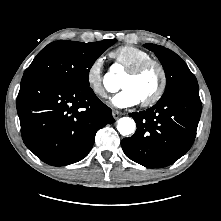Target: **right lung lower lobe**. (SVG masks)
<instances>
[{"instance_id":"right-lung-lower-lobe-1","label":"right lung lower lobe","mask_w":221,"mask_h":221,"mask_svg":"<svg viewBox=\"0 0 221 221\" xmlns=\"http://www.w3.org/2000/svg\"><path fill=\"white\" fill-rule=\"evenodd\" d=\"M17 112L25 145L52 166L86 157L96 132L114 122L89 86L46 76L22 78Z\"/></svg>"}]
</instances>
